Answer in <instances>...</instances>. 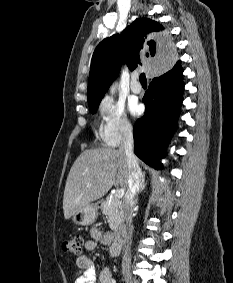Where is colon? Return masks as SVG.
Listing matches in <instances>:
<instances>
[{"label": "colon", "mask_w": 233, "mask_h": 283, "mask_svg": "<svg viewBox=\"0 0 233 283\" xmlns=\"http://www.w3.org/2000/svg\"><path fill=\"white\" fill-rule=\"evenodd\" d=\"M84 240L80 235H75L63 243V249L74 256L82 253Z\"/></svg>", "instance_id": "5ec220e1"}]
</instances>
